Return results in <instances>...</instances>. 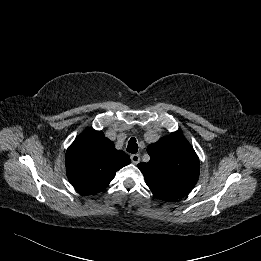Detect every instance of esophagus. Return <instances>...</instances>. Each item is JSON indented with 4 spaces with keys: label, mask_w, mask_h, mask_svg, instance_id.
<instances>
[{
    "label": "esophagus",
    "mask_w": 261,
    "mask_h": 261,
    "mask_svg": "<svg viewBox=\"0 0 261 261\" xmlns=\"http://www.w3.org/2000/svg\"><path fill=\"white\" fill-rule=\"evenodd\" d=\"M130 159H131L132 163L138 164L140 162V155L139 154H132L130 156Z\"/></svg>",
    "instance_id": "obj_1"
}]
</instances>
